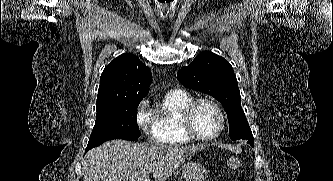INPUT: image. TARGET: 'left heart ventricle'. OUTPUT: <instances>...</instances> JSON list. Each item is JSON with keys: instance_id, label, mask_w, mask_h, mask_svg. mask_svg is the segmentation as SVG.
I'll return each instance as SVG.
<instances>
[{"instance_id": "obj_1", "label": "left heart ventricle", "mask_w": 333, "mask_h": 181, "mask_svg": "<svg viewBox=\"0 0 333 181\" xmlns=\"http://www.w3.org/2000/svg\"><path fill=\"white\" fill-rule=\"evenodd\" d=\"M193 123L201 136H211L220 126V118L215 108L207 103H201L195 110Z\"/></svg>"}]
</instances>
